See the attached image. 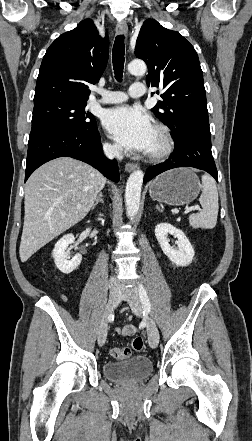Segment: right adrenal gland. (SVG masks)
I'll list each match as a JSON object with an SVG mask.
<instances>
[{"label": "right adrenal gland", "instance_id": "obj_1", "mask_svg": "<svg viewBox=\"0 0 252 441\" xmlns=\"http://www.w3.org/2000/svg\"><path fill=\"white\" fill-rule=\"evenodd\" d=\"M102 197H103V194L100 193V194L98 195V197H97V199H96V201H95L93 207L91 208L92 210L98 205L99 202L104 203Z\"/></svg>", "mask_w": 252, "mask_h": 441}]
</instances>
